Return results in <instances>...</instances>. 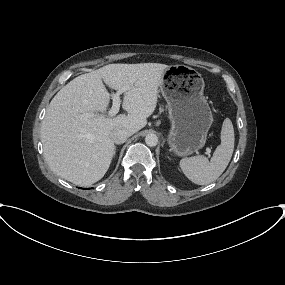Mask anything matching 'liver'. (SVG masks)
<instances>
[{
	"mask_svg": "<svg viewBox=\"0 0 285 285\" xmlns=\"http://www.w3.org/2000/svg\"><path fill=\"white\" fill-rule=\"evenodd\" d=\"M168 65L160 63L109 64L70 81L51 100L41 125L44 156L61 178L88 186L107 172L114 155L111 132L131 134L147 124L157 105L158 88ZM123 91L128 112L105 114L110 94L105 84ZM86 113L95 116L84 118Z\"/></svg>",
	"mask_w": 285,
	"mask_h": 285,
	"instance_id": "1",
	"label": "liver"
}]
</instances>
